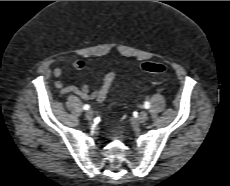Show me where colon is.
Instances as JSON below:
<instances>
[{
  "mask_svg": "<svg viewBox=\"0 0 230 186\" xmlns=\"http://www.w3.org/2000/svg\"><path fill=\"white\" fill-rule=\"evenodd\" d=\"M141 69L152 74H164L167 72L166 66L157 62H144L141 65ZM113 79H114V75L110 74L108 76L109 82L111 83Z\"/></svg>",
  "mask_w": 230,
  "mask_h": 186,
  "instance_id": "5ec220e1",
  "label": "colon"
}]
</instances>
